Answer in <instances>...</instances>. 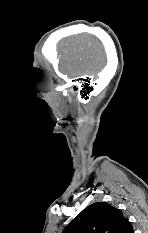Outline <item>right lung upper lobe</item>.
Listing matches in <instances>:
<instances>
[{
	"instance_id": "obj_1",
	"label": "right lung upper lobe",
	"mask_w": 148,
	"mask_h": 233,
	"mask_svg": "<svg viewBox=\"0 0 148 233\" xmlns=\"http://www.w3.org/2000/svg\"><path fill=\"white\" fill-rule=\"evenodd\" d=\"M63 233H134L122 212L106 202L86 207Z\"/></svg>"
}]
</instances>
